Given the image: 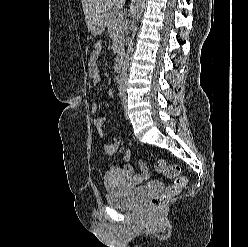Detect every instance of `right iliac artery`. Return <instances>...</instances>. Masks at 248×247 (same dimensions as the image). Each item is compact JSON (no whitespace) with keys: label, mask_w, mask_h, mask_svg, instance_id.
<instances>
[{"label":"right iliac artery","mask_w":248,"mask_h":247,"mask_svg":"<svg viewBox=\"0 0 248 247\" xmlns=\"http://www.w3.org/2000/svg\"><path fill=\"white\" fill-rule=\"evenodd\" d=\"M125 88L123 86L119 87V95L122 97L124 95Z\"/></svg>","instance_id":"1"}]
</instances>
